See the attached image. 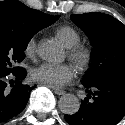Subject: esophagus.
Segmentation results:
<instances>
[{
  "label": "esophagus",
  "instance_id": "obj_1",
  "mask_svg": "<svg viewBox=\"0 0 125 125\" xmlns=\"http://www.w3.org/2000/svg\"><path fill=\"white\" fill-rule=\"evenodd\" d=\"M53 91L57 95H64L66 93L64 90L58 88H54Z\"/></svg>",
  "mask_w": 125,
  "mask_h": 125
}]
</instances>
